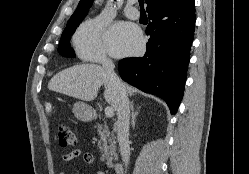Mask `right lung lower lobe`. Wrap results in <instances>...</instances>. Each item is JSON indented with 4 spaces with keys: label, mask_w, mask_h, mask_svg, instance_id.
<instances>
[{
    "label": "right lung lower lobe",
    "mask_w": 249,
    "mask_h": 174,
    "mask_svg": "<svg viewBox=\"0 0 249 174\" xmlns=\"http://www.w3.org/2000/svg\"><path fill=\"white\" fill-rule=\"evenodd\" d=\"M151 35L142 57L124 58L121 78L140 90L161 97L175 114L184 93L195 27V0H180L149 12Z\"/></svg>",
    "instance_id": "obj_1"
}]
</instances>
